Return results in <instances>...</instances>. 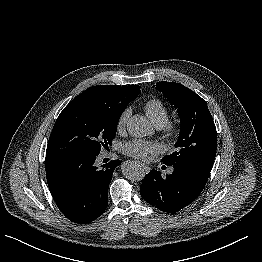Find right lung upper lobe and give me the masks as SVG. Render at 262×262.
I'll return each instance as SVG.
<instances>
[{"label":"right lung upper lobe","mask_w":262,"mask_h":262,"mask_svg":"<svg viewBox=\"0 0 262 262\" xmlns=\"http://www.w3.org/2000/svg\"><path fill=\"white\" fill-rule=\"evenodd\" d=\"M140 94V86L137 85H101L93 86L80 95L95 97L106 104L127 107V105Z\"/></svg>","instance_id":"right-lung-upper-lobe-1"}]
</instances>
